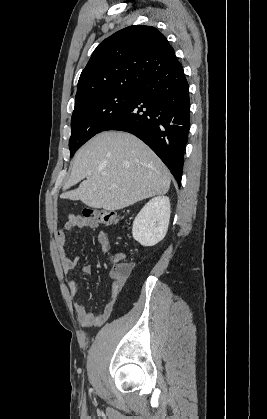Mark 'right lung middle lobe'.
Masks as SVG:
<instances>
[{"label": "right lung middle lobe", "mask_w": 267, "mask_h": 419, "mask_svg": "<svg viewBox=\"0 0 267 419\" xmlns=\"http://www.w3.org/2000/svg\"><path fill=\"white\" fill-rule=\"evenodd\" d=\"M140 86H127L104 91L75 103L71 119L72 134L69 140L71 157L76 150L115 118L133 100Z\"/></svg>", "instance_id": "1"}]
</instances>
